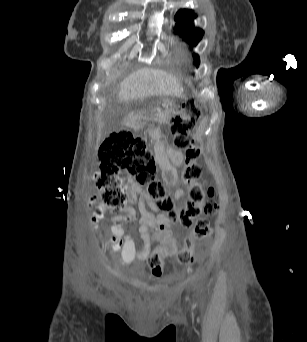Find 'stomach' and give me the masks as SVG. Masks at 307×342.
<instances>
[{
  "label": "stomach",
  "mask_w": 307,
  "mask_h": 342,
  "mask_svg": "<svg viewBox=\"0 0 307 342\" xmlns=\"http://www.w3.org/2000/svg\"><path fill=\"white\" fill-rule=\"evenodd\" d=\"M176 113V103L172 100L165 99L155 109L149 112H137L131 115L130 125L135 130L142 129L150 121L160 124L167 123Z\"/></svg>",
  "instance_id": "0dacf381"
}]
</instances>
